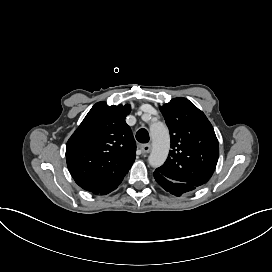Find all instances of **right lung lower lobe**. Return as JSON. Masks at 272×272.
Here are the masks:
<instances>
[{"label": "right lung lower lobe", "instance_id": "right-lung-lower-lobe-1", "mask_svg": "<svg viewBox=\"0 0 272 272\" xmlns=\"http://www.w3.org/2000/svg\"><path fill=\"white\" fill-rule=\"evenodd\" d=\"M116 188H117V186L114 187V188H112V189H110V190H108V191H106V192H104V193H101L100 195L108 194V193L112 192L113 190H115Z\"/></svg>", "mask_w": 272, "mask_h": 272}]
</instances>
